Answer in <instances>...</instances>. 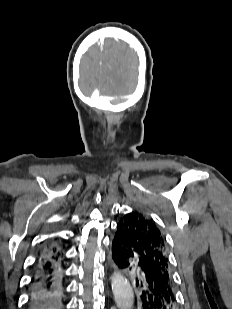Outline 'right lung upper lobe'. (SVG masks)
I'll use <instances>...</instances> for the list:
<instances>
[{"mask_svg": "<svg viewBox=\"0 0 232 309\" xmlns=\"http://www.w3.org/2000/svg\"><path fill=\"white\" fill-rule=\"evenodd\" d=\"M61 245H55L53 243H50L45 250L41 253V255H51V256H55V257H61L62 253H61Z\"/></svg>", "mask_w": 232, "mask_h": 309, "instance_id": "1", "label": "right lung upper lobe"}]
</instances>
